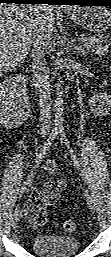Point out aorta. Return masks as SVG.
<instances>
[{"label": "aorta", "mask_w": 111, "mask_h": 257, "mask_svg": "<svg viewBox=\"0 0 111 257\" xmlns=\"http://www.w3.org/2000/svg\"><path fill=\"white\" fill-rule=\"evenodd\" d=\"M61 77H59V83L57 84V96L55 101L56 110V123L58 124L63 112V86Z\"/></svg>", "instance_id": "1"}]
</instances>
